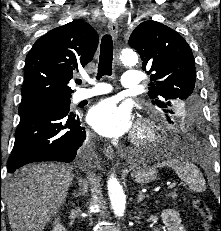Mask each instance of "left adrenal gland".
Returning <instances> with one entry per match:
<instances>
[{
    "instance_id": "1",
    "label": "left adrenal gland",
    "mask_w": 221,
    "mask_h": 231,
    "mask_svg": "<svg viewBox=\"0 0 221 231\" xmlns=\"http://www.w3.org/2000/svg\"><path fill=\"white\" fill-rule=\"evenodd\" d=\"M147 196H145L142 191L139 190V195H138V199H137V203H141L143 201V199H145Z\"/></svg>"
}]
</instances>
